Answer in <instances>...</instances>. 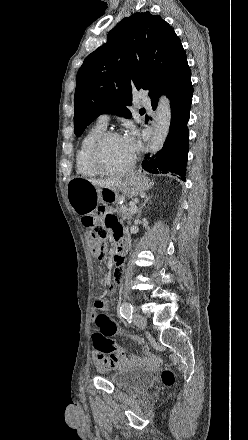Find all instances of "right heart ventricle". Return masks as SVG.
<instances>
[{
  "label": "right heart ventricle",
  "instance_id": "obj_1",
  "mask_svg": "<svg viewBox=\"0 0 248 440\" xmlns=\"http://www.w3.org/2000/svg\"><path fill=\"white\" fill-rule=\"evenodd\" d=\"M105 129V126L97 123L83 136L76 153V170L80 175L90 178H95L99 175L90 164L89 153L92 145L105 132Z\"/></svg>",
  "mask_w": 248,
  "mask_h": 440
}]
</instances>
